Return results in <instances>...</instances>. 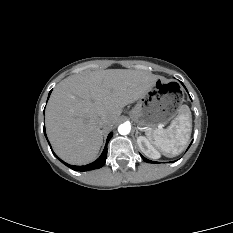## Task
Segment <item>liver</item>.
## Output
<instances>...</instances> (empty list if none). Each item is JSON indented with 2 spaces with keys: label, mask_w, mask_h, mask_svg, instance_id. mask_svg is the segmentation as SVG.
Here are the masks:
<instances>
[{
  "label": "liver",
  "mask_w": 233,
  "mask_h": 233,
  "mask_svg": "<svg viewBox=\"0 0 233 233\" xmlns=\"http://www.w3.org/2000/svg\"><path fill=\"white\" fill-rule=\"evenodd\" d=\"M157 76L128 69L75 74L53 90L46 108L48 138L59 157L73 165L94 161L103 143L100 120L107 129L118 122L122 108L140 99Z\"/></svg>",
  "instance_id": "6515ba94"
}]
</instances>
